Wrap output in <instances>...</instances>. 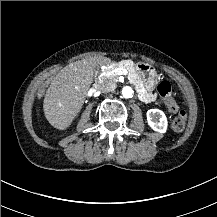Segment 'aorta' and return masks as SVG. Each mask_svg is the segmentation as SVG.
<instances>
[{
  "mask_svg": "<svg viewBox=\"0 0 217 217\" xmlns=\"http://www.w3.org/2000/svg\"><path fill=\"white\" fill-rule=\"evenodd\" d=\"M122 96L124 98H132L133 97V90L131 87L129 86H125L122 89Z\"/></svg>",
  "mask_w": 217,
  "mask_h": 217,
  "instance_id": "aorta-1",
  "label": "aorta"
}]
</instances>
